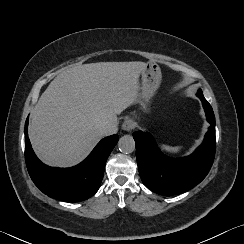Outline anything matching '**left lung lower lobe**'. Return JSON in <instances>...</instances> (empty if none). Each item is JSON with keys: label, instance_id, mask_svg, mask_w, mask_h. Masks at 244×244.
Returning a JSON list of instances; mask_svg holds the SVG:
<instances>
[{"label": "left lung lower lobe", "instance_id": "obj_1", "mask_svg": "<svg viewBox=\"0 0 244 244\" xmlns=\"http://www.w3.org/2000/svg\"><path fill=\"white\" fill-rule=\"evenodd\" d=\"M203 107L211 127L203 143L188 157L169 158L162 154L149 133H133L139 174L150 190L164 196L180 194L199 184L208 174L215 156V117L209 103Z\"/></svg>", "mask_w": 244, "mask_h": 244}]
</instances>
